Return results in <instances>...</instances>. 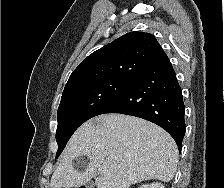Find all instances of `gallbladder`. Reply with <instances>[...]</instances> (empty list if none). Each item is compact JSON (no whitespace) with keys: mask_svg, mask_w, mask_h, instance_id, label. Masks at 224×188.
Masks as SVG:
<instances>
[{"mask_svg":"<svg viewBox=\"0 0 224 188\" xmlns=\"http://www.w3.org/2000/svg\"><path fill=\"white\" fill-rule=\"evenodd\" d=\"M86 188H94V183L92 182H86Z\"/></svg>","mask_w":224,"mask_h":188,"instance_id":"bac80fb5","label":"gallbladder"}]
</instances>
